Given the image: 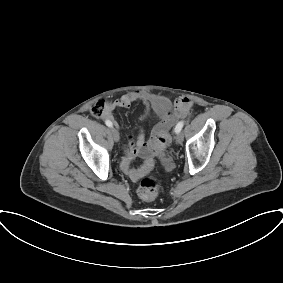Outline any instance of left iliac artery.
I'll return each instance as SVG.
<instances>
[{"mask_svg": "<svg viewBox=\"0 0 283 283\" xmlns=\"http://www.w3.org/2000/svg\"><path fill=\"white\" fill-rule=\"evenodd\" d=\"M183 125H184V121L178 122L177 125H176V127H175V132H176V133H179V132L182 130Z\"/></svg>", "mask_w": 283, "mask_h": 283, "instance_id": "left-iliac-artery-1", "label": "left iliac artery"}]
</instances>
